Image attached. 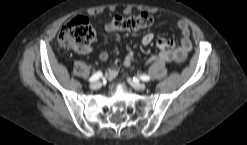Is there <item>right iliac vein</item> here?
<instances>
[{
    "label": "right iliac vein",
    "instance_id": "right-iliac-vein-1",
    "mask_svg": "<svg viewBox=\"0 0 247 145\" xmlns=\"http://www.w3.org/2000/svg\"><path fill=\"white\" fill-rule=\"evenodd\" d=\"M100 87H101V82H99V81H96V82H93V83L90 84V88H91L92 90H97V89H99Z\"/></svg>",
    "mask_w": 247,
    "mask_h": 145
}]
</instances>
